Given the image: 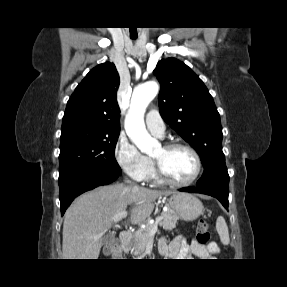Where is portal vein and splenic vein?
<instances>
[{
    "mask_svg": "<svg viewBox=\"0 0 287 287\" xmlns=\"http://www.w3.org/2000/svg\"><path fill=\"white\" fill-rule=\"evenodd\" d=\"M127 216V212L126 211H123V212H120L118 214H116L114 217H113V220L114 222H118L120 221L122 218L126 217ZM163 216H158L152 226V228L150 229L149 231V234L150 235H154L157 231V227H158V224H160V222L163 220Z\"/></svg>",
    "mask_w": 287,
    "mask_h": 287,
    "instance_id": "portal-vein-and-splenic-vein-1",
    "label": "portal vein and splenic vein"
}]
</instances>
